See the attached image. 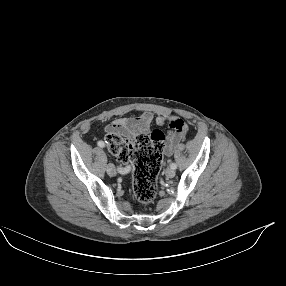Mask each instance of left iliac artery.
Listing matches in <instances>:
<instances>
[{
  "instance_id": "left-iliac-artery-1",
  "label": "left iliac artery",
  "mask_w": 286,
  "mask_h": 286,
  "mask_svg": "<svg viewBox=\"0 0 286 286\" xmlns=\"http://www.w3.org/2000/svg\"><path fill=\"white\" fill-rule=\"evenodd\" d=\"M170 167H171L173 170H175V169L177 168V165H176L175 163H171V164H170Z\"/></svg>"
}]
</instances>
